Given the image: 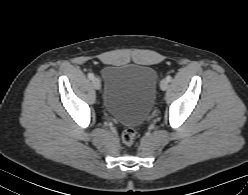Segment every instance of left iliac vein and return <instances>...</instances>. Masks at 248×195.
<instances>
[{"label":"left iliac vein","mask_w":248,"mask_h":195,"mask_svg":"<svg viewBox=\"0 0 248 195\" xmlns=\"http://www.w3.org/2000/svg\"><path fill=\"white\" fill-rule=\"evenodd\" d=\"M160 88L162 90H166L168 88V81L167 79H163L161 82H160Z\"/></svg>","instance_id":"1"}]
</instances>
